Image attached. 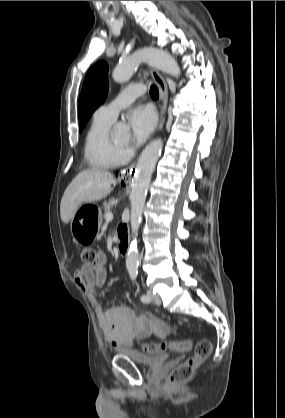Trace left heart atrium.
I'll return each mask as SVG.
<instances>
[{
  "label": "left heart atrium",
  "instance_id": "left-heart-atrium-1",
  "mask_svg": "<svg viewBox=\"0 0 285 418\" xmlns=\"http://www.w3.org/2000/svg\"><path fill=\"white\" fill-rule=\"evenodd\" d=\"M127 121L132 131L133 141L136 144H141L154 131L157 117L151 107L139 106L129 112Z\"/></svg>",
  "mask_w": 285,
  "mask_h": 418
}]
</instances>
